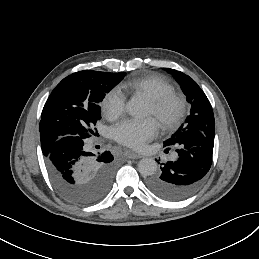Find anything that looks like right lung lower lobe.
Segmentation results:
<instances>
[{
	"mask_svg": "<svg viewBox=\"0 0 259 259\" xmlns=\"http://www.w3.org/2000/svg\"><path fill=\"white\" fill-rule=\"evenodd\" d=\"M85 140L56 141L45 157L49 176L57 190L68 200L79 205H90L101 200L109 191L115 162L110 151L89 152Z\"/></svg>",
	"mask_w": 259,
	"mask_h": 259,
	"instance_id": "obj_1",
	"label": "right lung lower lobe"
}]
</instances>
